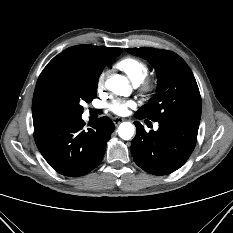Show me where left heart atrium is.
<instances>
[{
	"label": "left heart atrium",
	"mask_w": 233,
	"mask_h": 233,
	"mask_svg": "<svg viewBox=\"0 0 233 233\" xmlns=\"http://www.w3.org/2000/svg\"><path fill=\"white\" fill-rule=\"evenodd\" d=\"M133 107H135L133 101L122 99H113L107 105L109 111L120 116L126 115L129 109Z\"/></svg>",
	"instance_id": "1"
}]
</instances>
